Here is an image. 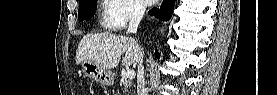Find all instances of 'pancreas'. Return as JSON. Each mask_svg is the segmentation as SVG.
<instances>
[{
  "instance_id": "1",
  "label": "pancreas",
  "mask_w": 277,
  "mask_h": 95,
  "mask_svg": "<svg viewBox=\"0 0 277 95\" xmlns=\"http://www.w3.org/2000/svg\"><path fill=\"white\" fill-rule=\"evenodd\" d=\"M120 85L124 87L125 92H128L130 84H129V81L126 78H123L121 80Z\"/></svg>"
}]
</instances>
